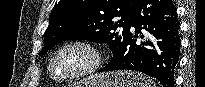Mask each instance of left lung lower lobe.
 <instances>
[{"label": "left lung lower lobe", "instance_id": "1", "mask_svg": "<svg viewBox=\"0 0 205 87\" xmlns=\"http://www.w3.org/2000/svg\"><path fill=\"white\" fill-rule=\"evenodd\" d=\"M131 27L136 34H130L120 54L99 72L136 70L158 79L164 87H174L173 74L179 61L181 40L173 1L139 0ZM141 29L150 33V39L137 45L136 39L144 38Z\"/></svg>", "mask_w": 205, "mask_h": 87}]
</instances>
